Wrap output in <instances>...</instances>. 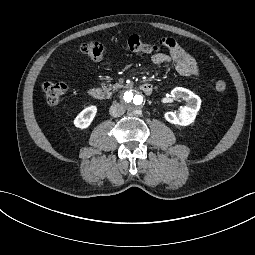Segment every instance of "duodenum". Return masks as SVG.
<instances>
[{
    "label": "duodenum",
    "mask_w": 255,
    "mask_h": 255,
    "mask_svg": "<svg viewBox=\"0 0 255 255\" xmlns=\"http://www.w3.org/2000/svg\"><path fill=\"white\" fill-rule=\"evenodd\" d=\"M140 88L147 95L151 94L152 91H153V86L150 83H143L140 86ZM88 94H89L90 97H92L95 100L102 101V100H105L107 98V93L99 87L90 88L88 90Z\"/></svg>",
    "instance_id": "obj_1"
}]
</instances>
